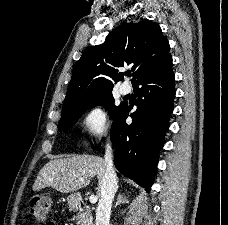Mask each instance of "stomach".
Segmentation results:
<instances>
[{
    "mask_svg": "<svg viewBox=\"0 0 228 225\" xmlns=\"http://www.w3.org/2000/svg\"><path fill=\"white\" fill-rule=\"evenodd\" d=\"M68 205L70 209H75L76 205L79 203V193H73L67 197Z\"/></svg>",
    "mask_w": 228,
    "mask_h": 225,
    "instance_id": "1",
    "label": "stomach"
}]
</instances>
